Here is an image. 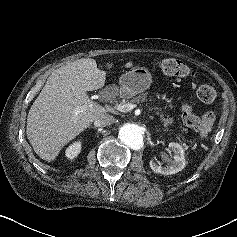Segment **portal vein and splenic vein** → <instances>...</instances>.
<instances>
[{"label":"portal vein and splenic vein","instance_id":"obj_1","mask_svg":"<svg viewBox=\"0 0 237 237\" xmlns=\"http://www.w3.org/2000/svg\"><path fill=\"white\" fill-rule=\"evenodd\" d=\"M136 107L135 104H130V103H120L118 104L115 109L120 111V112H129L132 109Z\"/></svg>","mask_w":237,"mask_h":237}]
</instances>
